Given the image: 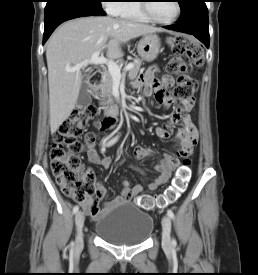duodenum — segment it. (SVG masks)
<instances>
[{"label": "duodenum", "mask_w": 258, "mask_h": 275, "mask_svg": "<svg viewBox=\"0 0 258 275\" xmlns=\"http://www.w3.org/2000/svg\"><path fill=\"white\" fill-rule=\"evenodd\" d=\"M102 81H103V73L100 71L94 72L88 80L91 89L94 91L98 90ZM122 110H123V106L118 105L117 107H114L109 111L108 117L112 119L113 117L117 116Z\"/></svg>", "instance_id": "1"}]
</instances>
